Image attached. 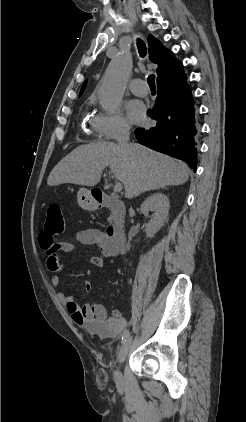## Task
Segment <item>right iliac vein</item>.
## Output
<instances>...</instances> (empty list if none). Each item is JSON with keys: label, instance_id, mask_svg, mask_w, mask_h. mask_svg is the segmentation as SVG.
<instances>
[{"label": "right iliac vein", "instance_id": "right-iliac-vein-1", "mask_svg": "<svg viewBox=\"0 0 246 422\" xmlns=\"http://www.w3.org/2000/svg\"><path fill=\"white\" fill-rule=\"evenodd\" d=\"M132 342V338L127 339L123 345L121 346L120 350H119V354H118V367L114 373V379H115V383L117 386H122L123 384V376L120 370L121 364L124 362V360L126 359V356L128 354V350L130 347V344Z\"/></svg>", "mask_w": 246, "mask_h": 422}]
</instances>
